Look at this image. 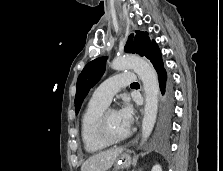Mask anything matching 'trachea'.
Here are the masks:
<instances>
[{"instance_id":"trachea-1","label":"trachea","mask_w":223,"mask_h":171,"mask_svg":"<svg viewBox=\"0 0 223 171\" xmlns=\"http://www.w3.org/2000/svg\"><path fill=\"white\" fill-rule=\"evenodd\" d=\"M134 84H137V82H135V83H132V85H134Z\"/></svg>"}]
</instances>
